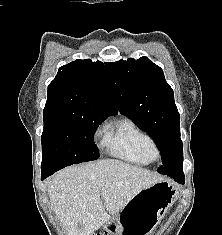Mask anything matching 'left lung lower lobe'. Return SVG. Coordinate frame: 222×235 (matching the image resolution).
I'll return each instance as SVG.
<instances>
[{
    "label": "left lung lower lobe",
    "instance_id": "left-lung-lower-lobe-1",
    "mask_svg": "<svg viewBox=\"0 0 222 235\" xmlns=\"http://www.w3.org/2000/svg\"><path fill=\"white\" fill-rule=\"evenodd\" d=\"M170 177L180 184H184L185 182L184 175H177V176H170Z\"/></svg>",
    "mask_w": 222,
    "mask_h": 235
}]
</instances>
